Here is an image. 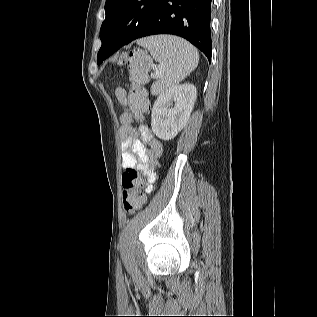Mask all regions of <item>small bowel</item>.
Segmentation results:
<instances>
[{
	"label": "small bowel",
	"instance_id": "1",
	"mask_svg": "<svg viewBox=\"0 0 317 317\" xmlns=\"http://www.w3.org/2000/svg\"><path fill=\"white\" fill-rule=\"evenodd\" d=\"M117 101L124 108L120 115V135L122 141V167L142 170L148 179L146 192L152 190L155 180L153 168L162 154L163 145L150 130L140 125L134 126L143 113L149 109V100L144 89L119 87L115 92Z\"/></svg>",
	"mask_w": 317,
	"mask_h": 317
}]
</instances>
